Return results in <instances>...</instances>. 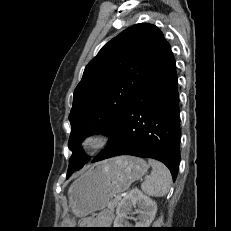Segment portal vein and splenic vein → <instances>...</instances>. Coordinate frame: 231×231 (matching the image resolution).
I'll list each match as a JSON object with an SVG mask.
<instances>
[{
    "instance_id": "portal-vein-and-splenic-vein-1",
    "label": "portal vein and splenic vein",
    "mask_w": 231,
    "mask_h": 231,
    "mask_svg": "<svg viewBox=\"0 0 231 231\" xmlns=\"http://www.w3.org/2000/svg\"><path fill=\"white\" fill-rule=\"evenodd\" d=\"M125 195H126V193L118 194V195H115V198L121 199V197H123Z\"/></svg>"
}]
</instances>
